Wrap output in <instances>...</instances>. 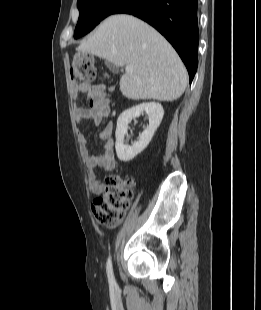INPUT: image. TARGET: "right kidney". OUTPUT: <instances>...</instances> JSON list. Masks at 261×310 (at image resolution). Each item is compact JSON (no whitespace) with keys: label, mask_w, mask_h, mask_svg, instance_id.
Masks as SVG:
<instances>
[{"label":"right kidney","mask_w":261,"mask_h":310,"mask_svg":"<svg viewBox=\"0 0 261 310\" xmlns=\"http://www.w3.org/2000/svg\"><path fill=\"white\" fill-rule=\"evenodd\" d=\"M143 113L148 115L149 124L140 134L137 142H135L132 146L125 145L124 138L127 135L128 124L132 121V119L139 117ZM163 115L164 110L160 103L146 102L125 110L119 116L115 132V148L119 160L129 162L148 146L155 131L162 121Z\"/></svg>","instance_id":"1"}]
</instances>
